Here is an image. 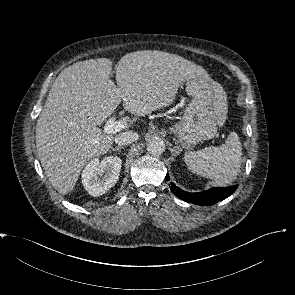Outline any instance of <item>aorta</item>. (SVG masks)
Segmentation results:
<instances>
[{"label": "aorta", "instance_id": "762f6f07", "mask_svg": "<svg viewBox=\"0 0 295 295\" xmlns=\"http://www.w3.org/2000/svg\"><path fill=\"white\" fill-rule=\"evenodd\" d=\"M147 151L153 156L161 155L165 151V144L159 138L152 139L147 144Z\"/></svg>", "mask_w": 295, "mask_h": 295}]
</instances>
